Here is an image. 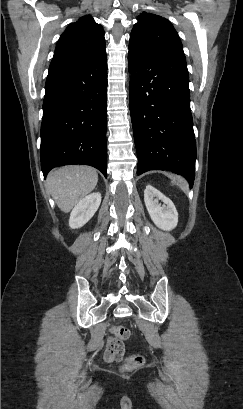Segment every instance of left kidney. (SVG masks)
<instances>
[{"label":"left kidney","instance_id":"obj_1","mask_svg":"<svg viewBox=\"0 0 243 409\" xmlns=\"http://www.w3.org/2000/svg\"><path fill=\"white\" fill-rule=\"evenodd\" d=\"M144 201L152 221L162 230L170 231L177 226L178 213L173 202L151 185L144 191ZM159 201L164 204L161 206Z\"/></svg>","mask_w":243,"mask_h":409}]
</instances>
